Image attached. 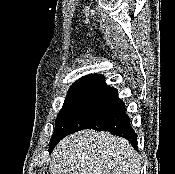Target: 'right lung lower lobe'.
Segmentation results:
<instances>
[{"label": "right lung lower lobe", "instance_id": "obj_1", "mask_svg": "<svg viewBox=\"0 0 175 174\" xmlns=\"http://www.w3.org/2000/svg\"><path fill=\"white\" fill-rule=\"evenodd\" d=\"M82 129L109 131L126 138L137 150V134L130 125L125 103L118 97L117 89L105 83L88 95L61 139ZM58 142L51 145L49 151H52Z\"/></svg>", "mask_w": 175, "mask_h": 174}]
</instances>
